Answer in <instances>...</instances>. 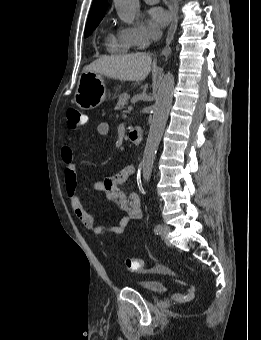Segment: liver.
I'll return each instance as SVG.
<instances>
[{"label": "liver", "instance_id": "liver-1", "mask_svg": "<svg viewBox=\"0 0 261 340\" xmlns=\"http://www.w3.org/2000/svg\"><path fill=\"white\" fill-rule=\"evenodd\" d=\"M151 55L134 53L119 56H102L83 69L123 81H143L151 71Z\"/></svg>", "mask_w": 261, "mask_h": 340}]
</instances>
